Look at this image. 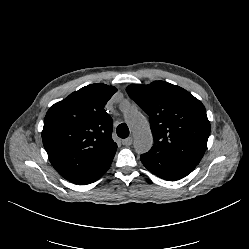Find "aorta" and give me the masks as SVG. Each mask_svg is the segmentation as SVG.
<instances>
[{
  "label": "aorta",
  "mask_w": 249,
  "mask_h": 249,
  "mask_svg": "<svg viewBox=\"0 0 249 249\" xmlns=\"http://www.w3.org/2000/svg\"><path fill=\"white\" fill-rule=\"evenodd\" d=\"M125 118L134 137V148L138 154L146 153L153 145V136L147 119L130 107L125 110Z\"/></svg>",
  "instance_id": "aorta-1"
}]
</instances>
